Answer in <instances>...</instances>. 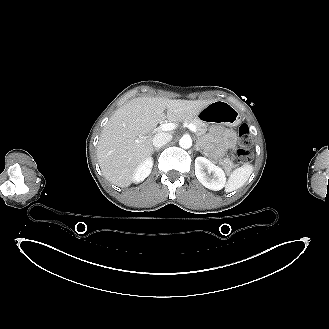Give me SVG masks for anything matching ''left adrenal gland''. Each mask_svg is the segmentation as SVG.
Returning <instances> with one entry per match:
<instances>
[{"mask_svg":"<svg viewBox=\"0 0 329 329\" xmlns=\"http://www.w3.org/2000/svg\"><path fill=\"white\" fill-rule=\"evenodd\" d=\"M195 150H196V151H199L201 154H203L202 151H201V149L199 148L198 144H196V146H195Z\"/></svg>","mask_w":329,"mask_h":329,"instance_id":"1","label":"left adrenal gland"}]
</instances>
